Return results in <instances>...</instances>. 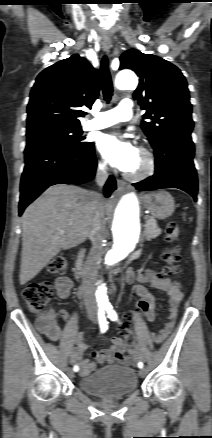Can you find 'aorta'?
Segmentation results:
<instances>
[{"instance_id": "1", "label": "aorta", "mask_w": 212, "mask_h": 438, "mask_svg": "<svg viewBox=\"0 0 212 438\" xmlns=\"http://www.w3.org/2000/svg\"><path fill=\"white\" fill-rule=\"evenodd\" d=\"M120 90L135 89L138 85L137 76L131 71L120 72L115 80ZM112 234L114 245L103 262L107 269L124 260L134 249L141 235L140 208L133 192L123 195L113 213ZM96 297L100 304L108 305L107 285L102 276L95 280Z\"/></svg>"}]
</instances>
